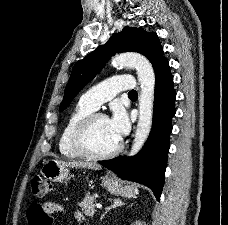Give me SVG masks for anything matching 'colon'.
<instances>
[{
    "mask_svg": "<svg viewBox=\"0 0 228 225\" xmlns=\"http://www.w3.org/2000/svg\"><path fill=\"white\" fill-rule=\"evenodd\" d=\"M50 182H47L42 176L36 175L31 180V194L34 199L40 200L48 195L50 191Z\"/></svg>",
    "mask_w": 228,
    "mask_h": 225,
    "instance_id": "5ec220e1",
    "label": "colon"
}]
</instances>
